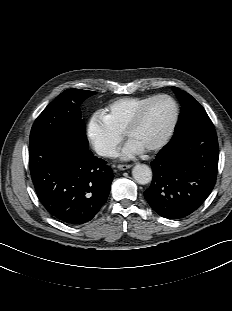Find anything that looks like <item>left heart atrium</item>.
I'll list each match as a JSON object with an SVG mask.
<instances>
[{
  "label": "left heart atrium",
  "instance_id": "39dd6f15",
  "mask_svg": "<svg viewBox=\"0 0 232 311\" xmlns=\"http://www.w3.org/2000/svg\"><path fill=\"white\" fill-rule=\"evenodd\" d=\"M143 148L136 142L129 140L124 148L121 150L120 155L123 159H131L136 155L143 152Z\"/></svg>",
  "mask_w": 232,
  "mask_h": 311
}]
</instances>
